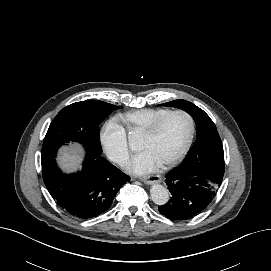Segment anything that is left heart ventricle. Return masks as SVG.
<instances>
[{"label":"left heart ventricle","instance_id":"1","mask_svg":"<svg viewBox=\"0 0 271 271\" xmlns=\"http://www.w3.org/2000/svg\"><path fill=\"white\" fill-rule=\"evenodd\" d=\"M190 123L184 114L170 117L152 136H141L139 147L149 151L159 162L175 156L187 141Z\"/></svg>","mask_w":271,"mask_h":271}]
</instances>
